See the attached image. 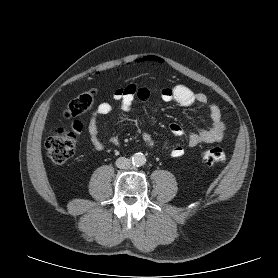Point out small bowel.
<instances>
[{"label": "small bowel", "mask_w": 278, "mask_h": 278, "mask_svg": "<svg viewBox=\"0 0 278 278\" xmlns=\"http://www.w3.org/2000/svg\"><path fill=\"white\" fill-rule=\"evenodd\" d=\"M160 98L164 102H174L182 107H190L193 105H200L207 109L211 119V125L203 128L197 132L190 133L188 136V143L191 147L203 143H213L220 141L225 133L226 125L222 117L220 107L215 103H209L207 96L201 92H194L189 87L183 84H176L172 87H162L159 90ZM151 97V91L145 86H139L135 83H130L124 87L117 88L113 93V99L120 103L123 111L128 112L135 99L142 102H147ZM112 104L110 102H102L95 108L88 124V134L90 143L96 150H103L104 144L98 137L97 118L99 116L107 115L112 111ZM170 132L174 136L184 135L183 127L178 123H172L169 127ZM143 141L150 147L155 146V140L148 132L142 133ZM110 142L113 145L119 144V137L113 135L110 137ZM184 148L180 145H175L170 150V155L173 158H179L184 155Z\"/></svg>", "instance_id": "c3829d8e"}]
</instances>
